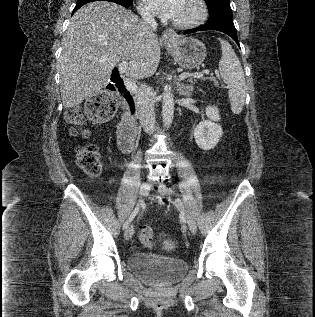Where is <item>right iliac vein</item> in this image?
Returning <instances> with one entry per match:
<instances>
[{
  "label": "right iliac vein",
  "instance_id": "right-iliac-vein-1",
  "mask_svg": "<svg viewBox=\"0 0 315 317\" xmlns=\"http://www.w3.org/2000/svg\"><path fill=\"white\" fill-rule=\"evenodd\" d=\"M150 188H151V184L148 182H144L141 184L140 190H139V196L141 199L146 197L149 194ZM133 233H134V229H133V226L131 225L125 231V239L126 240L131 239L133 236Z\"/></svg>",
  "mask_w": 315,
  "mask_h": 317
}]
</instances>
